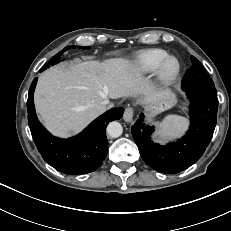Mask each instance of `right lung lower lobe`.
I'll return each instance as SVG.
<instances>
[{
	"label": "right lung lower lobe",
	"mask_w": 231,
	"mask_h": 231,
	"mask_svg": "<svg viewBox=\"0 0 231 231\" xmlns=\"http://www.w3.org/2000/svg\"><path fill=\"white\" fill-rule=\"evenodd\" d=\"M36 83L37 78L33 80L28 94V124L43 159L56 170L68 175L95 171L102 165L108 153L106 126L112 120L120 119L124 109L113 108L95 119L77 136L59 139L52 136L37 119L33 103Z\"/></svg>",
	"instance_id": "right-lung-lower-lobe-1"
}]
</instances>
